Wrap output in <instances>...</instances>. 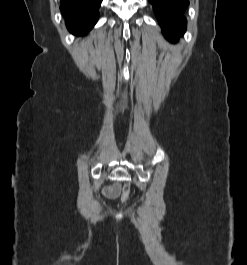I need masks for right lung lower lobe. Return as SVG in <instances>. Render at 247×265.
I'll return each mask as SVG.
<instances>
[{"label":"right lung lower lobe","mask_w":247,"mask_h":265,"mask_svg":"<svg viewBox=\"0 0 247 265\" xmlns=\"http://www.w3.org/2000/svg\"><path fill=\"white\" fill-rule=\"evenodd\" d=\"M102 0H61L60 9L70 32L86 34L97 22Z\"/></svg>","instance_id":"obj_1"}]
</instances>
